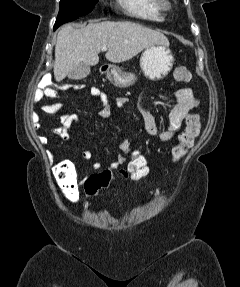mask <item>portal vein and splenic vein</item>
Masks as SVG:
<instances>
[{"label":"portal vein and splenic vein","mask_w":240,"mask_h":287,"mask_svg":"<svg viewBox=\"0 0 240 287\" xmlns=\"http://www.w3.org/2000/svg\"><path fill=\"white\" fill-rule=\"evenodd\" d=\"M102 51H106L107 50V47L106 46H104V47H102V49H101Z\"/></svg>","instance_id":"obj_1"}]
</instances>
